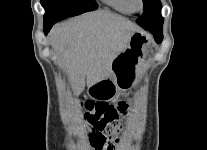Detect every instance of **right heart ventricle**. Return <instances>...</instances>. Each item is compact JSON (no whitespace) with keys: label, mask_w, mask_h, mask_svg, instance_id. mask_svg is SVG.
Returning <instances> with one entry per match:
<instances>
[{"label":"right heart ventricle","mask_w":207,"mask_h":150,"mask_svg":"<svg viewBox=\"0 0 207 150\" xmlns=\"http://www.w3.org/2000/svg\"><path fill=\"white\" fill-rule=\"evenodd\" d=\"M102 1L112 9L122 14H132L134 12L129 0H102Z\"/></svg>","instance_id":"obj_1"}]
</instances>
